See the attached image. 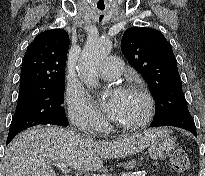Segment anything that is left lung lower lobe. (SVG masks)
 <instances>
[{
    "label": "left lung lower lobe",
    "mask_w": 205,
    "mask_h": 176,
    "mask_svg": "<svg viewBox=\"0 0 205 176\" xmlns=\"http://www.w3.org/2000/svg\"><path fill=\"white\" fill-rule=\"evenodd\" d=\"M150 126L151 127L175 126V127L186 129L191 133H193V135L197 136L196 126L191 114L188 111L187 106L178 109L173 114L159 121H153Z\"/></svg>",
    "instance_id": "0a47b994"
}]
</instances>
